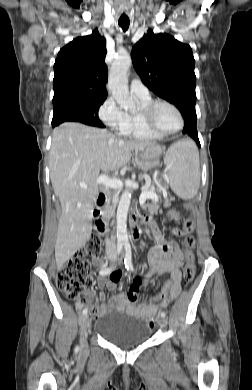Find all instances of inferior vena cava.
<instances>
[{"mask_svg":"<svg viewBox=\"0 0 252 390\" xmlns=\"http://www.w3.org/2000/svg\"><path fill=\"white\" fill-rule=\"evenodd\" d=\"M106 252L115 253L116 252V244L112 239H106Z\"/></svg>","mask_w":252,"mask_h":390,"instance_id":"obj_1","label":"inferior vena cava"}]
</instances>
